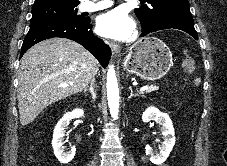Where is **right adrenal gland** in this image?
I'll list each match as a JSON object with an SVG mask.
<instances>
[{"mask_svg": "<svg viewBox=\"0 0 227 166\" xmlns=\"http://www.w3.org/2000/svg\"><path fill=\"white\" fill-rule=\"evenodd\" d=\"M95 79H92L90 82V87L88 89L84 90V93H87V91L90 92L91 94V102H94L96 100L97 94H96V90H95Z\"/></svg>", "mask_w": 227, "mask_h": 166, "instance_id": "obj_1", "label": "right adrenal gland"}]
</instances>
